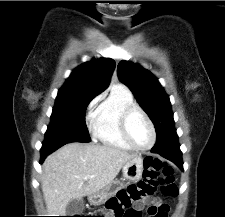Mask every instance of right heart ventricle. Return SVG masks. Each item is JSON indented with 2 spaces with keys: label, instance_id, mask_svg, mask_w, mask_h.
<instances>
[{
  "label": "right heart ventricle",
  "instance_id": "1",
  "mask_svg": "<svg viewBox=\"0 0 225 217\" xmlns=\"http://www.w3.org/2000/svg\"><path fill=\"white\" fill-rule=\"evenodd\" d=\"M134 104V96L125 86L115 85L111 89L95 112L94 135L100 143L112 149L133 150L122 137L120 116L126 107Z\"/></svg>",
  "mask_w": 225,
  "mask_h": 217
}]
</instances>
